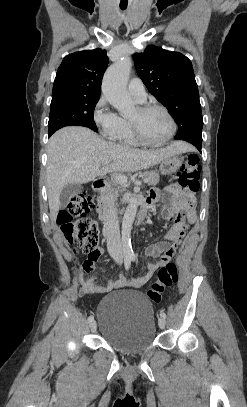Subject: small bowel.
<instances>
[{
  "label": "small bowel",
  "mask_w": 247,
  "mask_h": 407,
  "mask_svg": "<svg viewBox=\"0 0 247 407\" xmlns=\"http://www.w3.org/2000/svg\"><path fill=\"white\" fill-rule=\"evenodd\" d=\"M166 199L170 201V205L163 208L162 215L166 219L173 220L174 227L171 234L167 235L161 242L146 248L145 255L154 258V260L147 264V273L140 278H127L121 275L118 280H108L106 284L96 282L95 263L100 259L104 251L100 248L94 256H88L81 266L79 273L81 295L105 293L121 287H141L151 278L157 269L165 266L174 258L181 250L186 233L195 220V210L191 195L182 193L176 185L167 187L164 192L153 190L150 193L148 202ZM181 211H184V214H181ZM83 271L91 274L93 279L85 281Z\"/></svg>",
  "instance_id": "c3829d8e"
}]
</instances>
